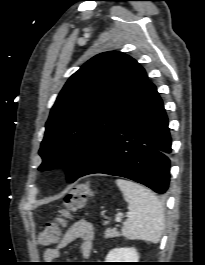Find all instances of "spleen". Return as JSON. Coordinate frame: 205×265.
Segmentation results:
<instances>
[{"label": "spleen", "mask_w": 205, "mask_h": 265, "mask_svg": "<svg viewBox=\"0 0 205 265\" xmlns=\"http://www.w3.org/2000/svg\"><path fill=\"white\" fill-rule=\"evenodd\" d=\"M116 183L131 212L123 224L122 235L127 239L158 243L164 230V212L159 199L151 190L135 182L117 179Z\"/></svg>", "instance_id": "obj_1"}]
</instances>
